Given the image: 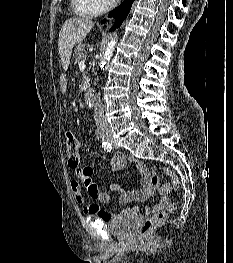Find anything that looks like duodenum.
Listing matches in <instances>:
<instances>
[{"label":"duodenum","mask_w":233,"mask_h":263,"mask_svg":"<svg viewBox=\"0 0 233 263\" xmlns=\"http://www.w3.org/2000/svg\"><path fill=\"white\" fill-rule=\"evenodd\" d=\"M81 79L83 82L81 83V86L83 87L84 90L90 91L92 89V86L90 83L92 82V79L90 78L89 75H82Z\"/></svg>","instance_id":"duodenum-1"}]
</instances>
